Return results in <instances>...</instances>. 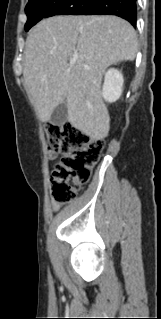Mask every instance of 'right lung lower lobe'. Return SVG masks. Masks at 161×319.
Masks as SVG:
<instances>
[{"label":"right lung lower lobe","mask_w":161,"mask_h":319,"mask_svg":"<svg viewBox=\"0 0 161 319\" xmlns=\"http://www.w3.org/2000/svg\"><path fill=\"white\" fill-rule=\"evenodd\" d=\"M136 14V0H88L72 15H116L135 27Z\"/></svg>","instance_id":"1"}]
</instances>
